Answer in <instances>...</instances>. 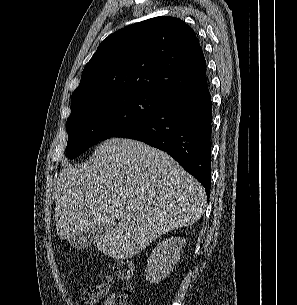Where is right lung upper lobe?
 Masks as SVG:
<instances>
[{"label": "right lung upper lobe", "mask_w": 297, "mask_h": 305, "mask_svg": "<svg viewBox=\"0 0 297 305\" xmlns=\"http://www.w3.org/2000/svg\"><path fill=\"white\" fill-rule=\"evenodd\" d=\"M205 71L192 28L175 17L151 18L111 34L98 46L72 94L71 108L132 92L168 98L206 84Z\"/></svg>", "instance_id": "1"}]
</instances>
